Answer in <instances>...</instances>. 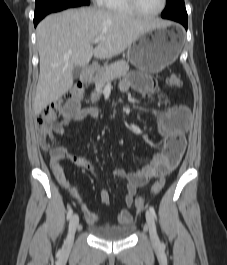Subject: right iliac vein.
Returning a JSON list of instances; mask_svg holds the SVG:
<instances>
[{
    "instance_id": "right-iliac-vein-1",
    "label": "right iliac vein",
    "mask_w": 227,
    "mask_h": 265,
    "mask_svg": "<svg viewBox=\"0 0 227 265\" xmlns=\"http://www.w3.org/2000/svg\"><path fill=\"white\" fill-rule=\"evenodd\" d=\"M78 225H79V216L77 214H74L71 217L70 223H69L68 236L66 239V247L71 246V244L73 243L74 235H75Z\"/></svg>"
}]
</instances>
